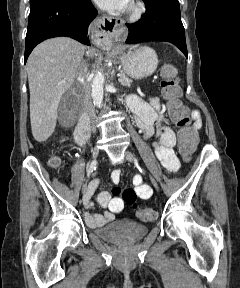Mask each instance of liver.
<instances>
[{
  "label": "liver",
  "instance_id": "1",
  "mask_svg": "<svg viewBox=\"0 0 240 288\" xmlns=\"http://www.w3.org/2000/svg\"><path fill=\"white\" fill-rule=\"evenodd\" d=\"M84 53L78 41L56 37L37 45L29 56L30 121L36 141H46L54 132L60 99L75 82ZM88 53L96 55L95 49Z\"/></svg>",
  "mask_w": 240,
  "mask_h": 288
}]
</instances>
